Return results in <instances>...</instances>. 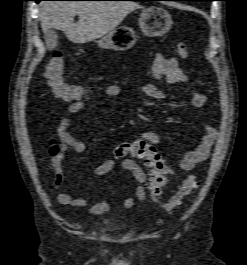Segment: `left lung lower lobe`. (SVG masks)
Listing matches in <instances>:
<instances>
[{"instance_id":"left-lung-lower-lobe-1","label":"left lung lower lobe","mask_w":247,"mask_h":265,"mask_svg":"<svg viewBox=\"0 0 247 265\" xmlns=\"http://www.w3.org/2000/svg\"><path fill=\"white\" fill-rule=\"evenodd\" d=\"M142 1H156V0H142ZM166 1H203V0H166Z\"/></svg>"}]
</instances>
